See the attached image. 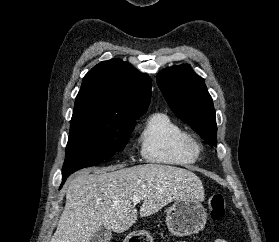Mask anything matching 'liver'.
Listing matches in <instances>:
<instances>
[{
    "instance_id": "liver-1",
    "label": "liver",
    "mask_w": 279,
    "mask_h": 242,
    "mask_svg": "<svg viewBox=\"0 0 279 242\" xmlns=\"http://www.w3.org/2000/svg\"><path fill=\"white\" fill-rule=\"evenodd\" d=\"M66 186L65 208L50 242H90L101 227L123 233L137 220L136 195L143 200L141 217L180 198L204 200L202 182L192 171L160 164L84 170Z\"/></svg>"
}]
</instances>
